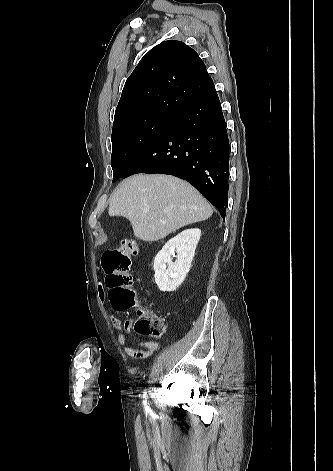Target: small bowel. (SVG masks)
<instances>
[{"mask_svg": "<svg viewBox=\"0 0 333 471\" xmlns=\"http://www.w3.org/2000/svg\"><path fill=\"white\" fill-rule=\"evenodd\" d=\"M98 296L102 302L105 301L106 295L103 289V286L99 284L98 287ZM111 323L113 327L119 332L117 336V342L120 345L126 343L128 336H130L134 322L132 319H126L122 322L118 317L111 316L110 317ZM158 349V343L155 341H145L140 343H134L131 347H125L124 352L126 355L136 358V359H144L149 357L152 353H154Z\"/></svg>", "mask_w": 333, "mask_h": 471, "instance_id": "small-bowel-1", "label": "small bowel"}]
</instances>
